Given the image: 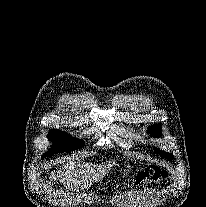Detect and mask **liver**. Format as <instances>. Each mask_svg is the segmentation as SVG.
<instances>
[{
	"instance_id": "1",
	"label": "liver",
	"mask_w": 206,
	"mask_h": 207,
	"mask_svg": "<svg viewBox=\"0 0 206 207\" xmlns=\"http://www.w3.org/2000/svg\"><path fill=\"white\" fill-rule=\"evenodd\" d=\"M102 175L104 169H95L90 164L69 160L62 168L51 173L49 179L55 181L58 178L64 186L77 190L91 185Z\"/></svg>"
}]
</instances>
